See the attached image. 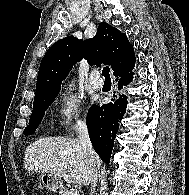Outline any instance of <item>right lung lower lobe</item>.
Returning <instances> with one entry per match:
<instances>
[{
	"label": "right lung lower lobe",
	"instance_id": "right-lung-lower-lobe-1",
	"mask_svg": "<svg viewBox=\"0 0 189 195\" xmlns=\"http://www.w3.org/2000/svg\"><path fill=\"white\" fill-rule=\"evenodd\" d=\"M131 71L118 78V89L127 86L133 79ZM109 104L103 106L93 105L87 115V127L90 140L101 160L107 164L110 161L114 139L119 129L127 107V97L124 94L115 96Z\"/></svg>",
	"mask_w": 189,
	"mask_h": 195
}]
</instances>
